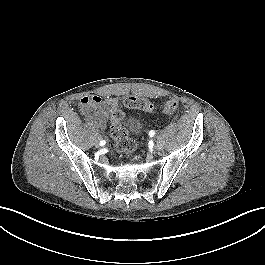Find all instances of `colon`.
Listing matches in <instances>:
<instances>
[{
    "mask_svg": "<svg viewBox=\"0 0 265 265\" xmlns=\"http://www.w3.org/2000/svg\"><path fill=\"white\" fill-rule=\"evenodd\" d=\"M180 103L177 99H170L160 107L165 114H173L178 111ZM140 109L147 112H154L157 107L151 101L135 96H128L121 100L119 106L112 111L111 135L118 152L130 155L136 150V142L130 137L123 123L122 108Z\"/></svg>",
    "mask_w": 265,
    "mask_h": 265,
    "instance_id": "5ec220e1",
    "label": "colon"
}]
</instances>
